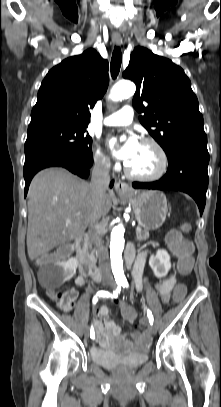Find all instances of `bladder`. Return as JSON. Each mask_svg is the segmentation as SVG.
I'll return each mask as SVG.
<instances>
[{
  "label": "bladder",
  "instance_id": "31cf9c89",
  "mask_svg": "<svg viewBox=\"0 0 221 407\" xmlns=\"http://www.w3.org/2000/svg\"><path fill=\"white\" fill-rule=\"evenodd\" d=\"M90 359L106 369H134L143 365L148 360V355L144 350L128 353L124 349L92 347Z\"/></svg>",
  "mask_w": 221,
  "mask_h": 407
}]
</instances>
